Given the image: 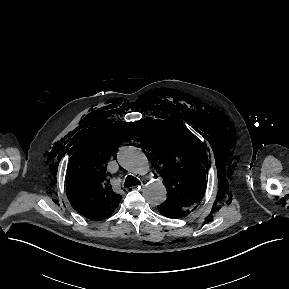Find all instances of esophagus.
I'll return each mask as SVG.
<instances>
[{"mask_svg":"<svg viewBox=\"0 0 289 289\" xmlns=\"http://www.w3.org/2000/svg\"><path fill=\"white\" fill-rule=\"evenodd\" d=\"M141 187H143V185L136 186L137 189H141Z\"/></svg>","mask_w":289,"mask_h":289,"instance_id":"34e87169","label":"esophagus"}]
</instances>
